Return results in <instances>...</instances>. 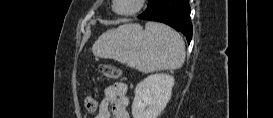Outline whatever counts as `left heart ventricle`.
<instances>
[{
  "mask_svg": "<svg viewBox=\"0 0 273 118\" xmlns=\"http://www.w3.org/2000/svg\"><path fill=\"white\" fill-rule=\"evenodd\" d=\"M135 6V0H119L117 9L120 11H127Z\"/></svg>",
  "mask_w": 273,
  "mask_h": 118,
  "instance_id": "obj_1",
  "label": "left heart ventricle"
}]
</instances>
